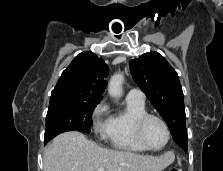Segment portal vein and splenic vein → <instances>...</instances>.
Masks as SVG:
<instances>
[{
    "instance_id": "portal-vein-and-splenic-vein-1",
    "label": "portal vein and splenic vein",
    "mask_w": 223,
    "mask_h": 171,
    "mask_svg": "<svg viewBox=\"0 0 223 171\" xmlns=\"http://www.w3.org/2000/svg\"><path fill=\"white\" fill-rule=\"evenodd\" d=\"M97 171H104V168L101 167V168H99Z\"/></svg>"
}]
</instances>
